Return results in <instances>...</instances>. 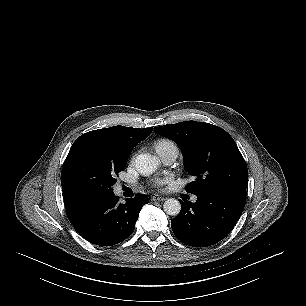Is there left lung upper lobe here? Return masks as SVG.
Segmentation results:
<instances>
[{"instance_id":"5c2ea615","label":"left lung upper lobe","mask_w":306,"mask_h":306,"mask_svg":"<svg viewBox=\"0 0 306 306\" xmlns=\"http://www.w3.org/2000/svg\"><path fill=\"white\" fill-rule=\"evenodd\" d=\"M175 141L195 181L186 186L194 195L230 193L245 197L248 170L234 139L222 128L197 121H184L154 128Z\"/></svg>"}]
</instances>
